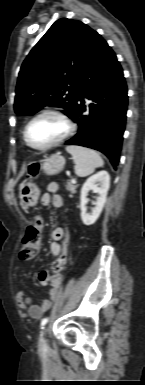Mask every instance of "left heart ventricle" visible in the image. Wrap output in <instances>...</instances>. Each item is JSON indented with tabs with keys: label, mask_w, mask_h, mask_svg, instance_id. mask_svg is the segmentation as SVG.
Masks as SVG:
<instances>
[{
	"label": "left heart ventricle",
	"mask_w": 145,
	"mask_h": 385,
	"mask_svg": "<svg viewBox=\"0 0 145 385\" xmlns=\"http://www.w3.org/2000/svg\"><path fill=\"white\" fill-rule=\"evenodd\" d=\"M66 131L65 123L56 116L46 115L35 120L28 132L29 141L35 146H45Z\"/></svg>",
	"instance_id": "1"
}]
</instances>
